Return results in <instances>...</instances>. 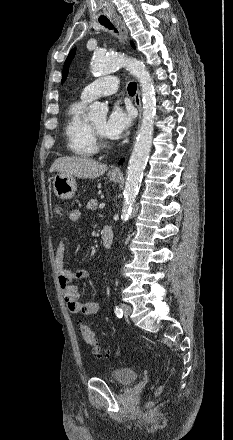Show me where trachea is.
I'll list each match as a JSON object with an SVG mask.
<instances>
[{
    "mask_svg": "<svg viewBox=\"0 0 233 440\" xmlns=\"http://www.w3.org/2000/svg\"><path fill=\"white\" fill-rule=\"evenodd\" d=\"M99 22L101 25L106 26L109 29H115L114 26L111 24V22L108 19H100ZM115 32H117V30H115ZM128 93L130 95H134L136 93V83L135 82L129 83Z\"/></svg>",
    "mask_w": 233,
    "mask_h": 440,
    "instance_id": "obj_1",
    "label": "trachea"
}]
</instances>
